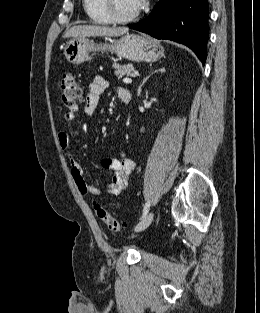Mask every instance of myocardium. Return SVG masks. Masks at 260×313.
<instances>
[{
	"label": "myocardium",
	"instance_id": "myocardium-1",
	"mask_svg": "<svg viewBox=\"0 0 260 313\" xmlns=\"http://www.w3.org/2000/svg\"><path fill=\"white\" fill-rule=\"evenodd\" d=\"M103 7L111 22L115 23H127L135 20L142 9V7H139L134 13L127 16H121L115 10L114 0H103Z\"/></svg>",
	"mask_w": 260,
	"mask_h": 313
}]
</instances>
